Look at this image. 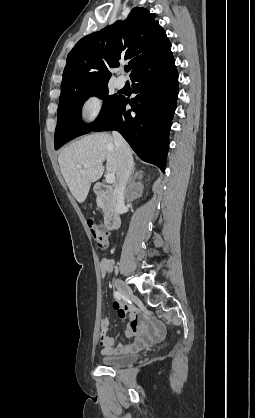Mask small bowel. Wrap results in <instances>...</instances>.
<instances>
[{"label":"small bowel","mask_w":255,"mask_h":418,"mask_svg":"<svg viewBox=\"0 0 255 418\" xmlns=\"http://www.w3.org/2000/svg\"><path fill=\"white\" fill-rule=\"evenodd\" d=\"M113 268L111 260L103 258L99 262L101 274L109 273ZM113 308L118 312L121 319H127L126 334L128 337L136 336L132 343L114 345V338L108 334L109 321L107 317L101 319V331L99 345L103 355H121L139 350L150 342L161 339L164 336V327L160 324H146V318L134 307L125 305L116 299Z\"/></svg>","instance_id":"1"}]
</instances>
